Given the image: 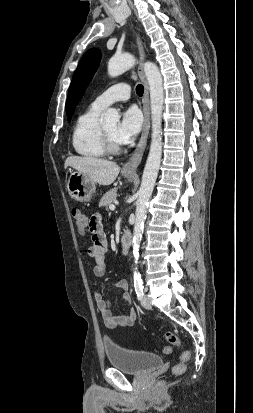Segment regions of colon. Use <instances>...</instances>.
<instances>
[{
	"label": "colon",
	"mask_w": 253,
	"mask_h": 413,
	"mask_svg": "<svg viewBox=\"0 0 253 413\" xmlns=\"http://www.w3.org/2000/svg\"><path fill=\"white\" fill-rule=\"evenodd\" d=\"M71 215H72V219H73L74 223L76 224L78 230L81 233H84L86 231V229L88 228V220H87V217L85 216V214L83 212H81L79 209L73 208L72 211H71ZM165 338L168 341V343L172 346H180L181 345V339L179 338L178 335H176L172 331H167L165 333ZM163 351L165 353H170L171 352V347H169V346L164 347ZM189 359H190V352H188V351L183 352L180 356V362L177 363L173 367L172 373L174 375L182 374L185 370L186 364L189 361Z\"/></svg>",
	"instance_id": "1"
}]
</instances>
